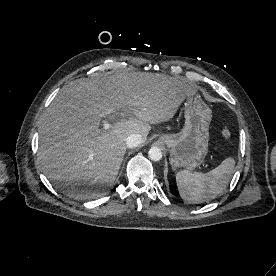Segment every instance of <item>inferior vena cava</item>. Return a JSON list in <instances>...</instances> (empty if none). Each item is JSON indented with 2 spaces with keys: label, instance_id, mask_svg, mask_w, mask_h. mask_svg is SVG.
I'll list each match as a JSON object with an SVG mask.
<instances>
[{
  "label": "inferior vena cava",
  "instance_id": "obj_1",
  "mask_svg": "<svg viewBox=\"0 0 276 276\" xmlns=\"http://www.w3.org/2000/svg\"><path fill=\"white\" fill-rule=\"evenodd\" d=\"M142 143V137L140 134L133 133L129 135L126 139V145L129 148H135Z\"/></svg>",
  "mask_w": 276,
  "mask_h": 276
}]
</instances>
